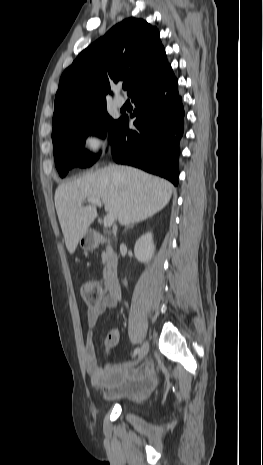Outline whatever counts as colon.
Returning <instances> with one entry per match:
<instances>
[{"instance_id":"5ec220e1","label":"colon","mask_w":263,"mask_h":465,"mask_svg":"<svg viewBox=\"0 0 263 465\" xmlns=\"http://www.w3.org/2000/svg\"><path fill=\"white\" fill-rule=\"evenodd\" d=\"M81 296L89 306L99 303L106 292L105 286L95 280H87L81 285Z\"/></svg>"}]
</instances>
